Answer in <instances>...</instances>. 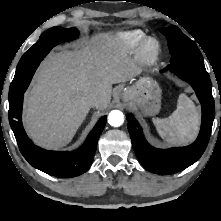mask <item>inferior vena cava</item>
Wrapping results in <instances>:
<instances>
[{"label":"inferior vena cava","mask_w":221,"mask_h":221,"mask_svg":"<svg viewBox=\"0 0 221 221\" xmlns=\"http://www.w3.org/2000/svg\"><path fill=\"white\" fill-rule=\"evenodd\" d=\"M99 96L96 95V94H92L88 97V100H87V104L90 106V107H95L98 105L99 103Z\"/></svg>","instance_id":"inferior-vena-cava-1"}]
</instances>
